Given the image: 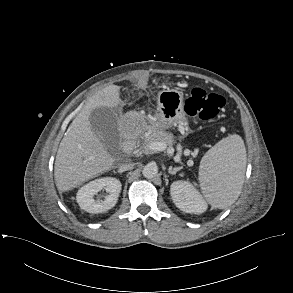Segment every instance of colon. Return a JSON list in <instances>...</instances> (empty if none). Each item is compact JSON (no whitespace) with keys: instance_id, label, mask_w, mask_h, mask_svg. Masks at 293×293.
<instances>
[{"instance_id":"1","label":"colon","mask_w":293,"mask_h":293,"mask_svg":"<svg viewBox=\"0 0 293 293\" xmlns=\"http://www.w3.org/2000/svg\"><path fill=\"white\" fill-rule=\"evenodd\" d=\"M224 106L225 99L221 95L194 87L186 98L184 109L190 116L211 121L218 117Z\"/></svg>"}]
</instances>
